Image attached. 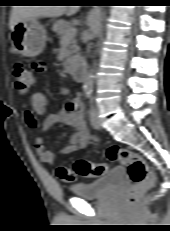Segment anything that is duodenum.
<instances>
[{"instance_id": "duodenum-1", "label": "duodenum", "mask_w": 170, "mask_h": 231, "mask_svg": "<svg viewBox=\"0 0 170 231\" xmlns=\"http://www.w3.org/2000/svg\"><path fill=\"white\" fill-rule=\"evenodd\" d=\"M69 70L77 80L82 81L84 79L86 69L82 62H77L74 65L69 66Z\"/></svg>"}]
</instances>
